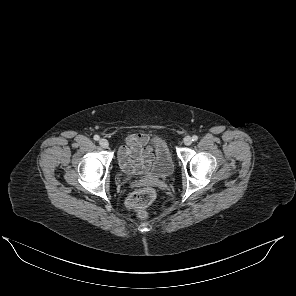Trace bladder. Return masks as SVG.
<instances>
[{
    "instance_id": "obj_1",
    "label": "bladder",
    "mask_w": 296,
    "mask_h": 296,
    "mask_svg": "<svg viewBox=\"0 0 296 296\" xmlns=\"http://www.w3.org/2000/svg\"><path fill=\"white\" fill-rule=\"evenodd\" d=\"M151 146L153 159L145 174L159 179L173 175L175 164L166 141L161 137H154Z\"/></svg>"
}]
</instances>
